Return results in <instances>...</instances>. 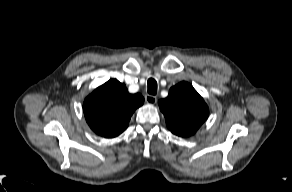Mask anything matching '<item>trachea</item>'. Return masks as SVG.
<instances>
[{
    "label": "trachea",
    "mask_w": 292,
    "mask_h": 192,
    "mask_svg": "<svg viewBox=\"0 0 292 192\" xmlns=\"http://www.w3.org/2000/svg\"><path fill=\"white\" fill-rule=\"evenodd\" d=\"M148 93L151 95H155L157 93V82L152 78L148 79Z\"/></svg>",
    "instance_id": "obj_1"
}]
</instances>
